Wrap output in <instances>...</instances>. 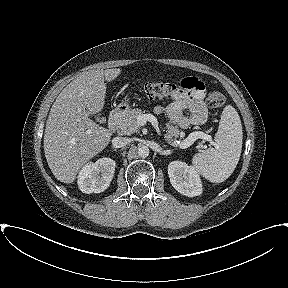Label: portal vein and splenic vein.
Instances as JSON below:
<instances>
[{"instance_id":"1","label":"portal vein and splenic vein","mask_w":288,"mask_h":288,"mask_svg":"<svg viewBox=\"0 0 288 288\" xmlns=\"http://www.w3.org/2000/svg\"><path fill=\"white\" fill-rule=\"evenodd\" d=\"M137 121L140 125H144L146 121H150L152 123H157V119L152 114H142L137 117ZM198 138L204 139L207 141H211V136L203 133V132H192L187 139L183 140L181 142L180 148L185 149L192 145ZM201 148H203V145H199Z\"/></svg>"}]
</instances>
